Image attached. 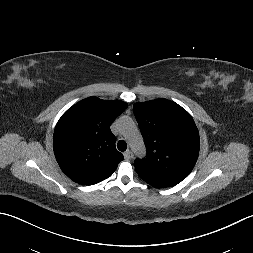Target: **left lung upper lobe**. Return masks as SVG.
<instances>
[{
    "instance_id": "5c2ea615",
    "label": "left lung upper lobe",
    "mask_w": 253,
    "mask_h": 253,
    "mask_svg": "<svg viewBox=\"0 0 253 253\" xmlns=\"http://www.w3.org/2000/svg\"><path fill=\"white\" fill-rule=\"evenodd\" d=\"M133 112L147 155L134 162L137 174L153 187H171L192 171L200 148L199 132L191 115L167 99L137 102Z\"/></svg>"
}]
</instances>
